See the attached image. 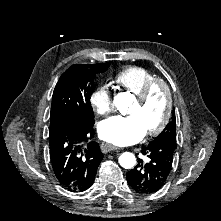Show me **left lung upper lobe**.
Here are the masks:
<instances>
[{"mask_svg":"<svg viewBox=\"0 0 221 221\" xmlns=\"http://www.w3.org/2000/svg\"><path fill=\"white\" fill-rule=\"evenodd\" d=\"M169 139L171 141L176 142V118L175 112L173 111L172 120L167 124L165 129L162 131L160 135H158L153 141L150 143H155L161 140Z\"/></svg>","mask_w":221,"mask_h":221,"instance_id":"obj_1","label":"left lung upper lobe"}]
</instances>
